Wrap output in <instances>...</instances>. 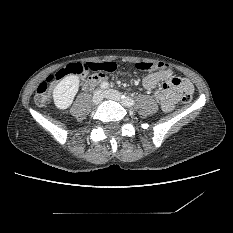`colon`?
<instances>
[{
  "mask_svg": "<svg viewBox=\"0 0 233 233\" xmlns=\"http://www.w3.org/2000/svg\"><path fill=\"white\" fill-rule=\"evenodd\" d=\"M166 66L164 63L159 61L147 62L140 61L135 64V68L141 71H156L162 70ZM85 69V65L82 63H71L66 67L59 69L58 71L50 74L45 81L41 82L35 91L34 100L36 104H46L50 99V87L59 81H61L67 75H80ZM89 69L98 71L101 74L111 73L115 70V65L108 63H91ZM192 100L190 93H184L182 96V103L189 104Z\"/></svg>",
  "mask_w": 233,
  "mask_h": 233,
  "instance_id": "colon-1",
  "label": "colon"
}]
</instances>
